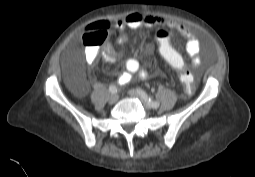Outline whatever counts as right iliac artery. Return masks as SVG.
<instances>
[{"mask_svg": "<svg viewBox=\"0 0 255 177\" xmlns=\"http://www.w3.org/2000/svg\"><path fill=\"white\" fill-rule=\"evenodd\" d=\"M109 91H110L112 94H115V93H117V88H116L114 85H111V86L109 87Z\"/></svg>", "mask_w": 255, "mask_h": 177, "instance_id": "right-iliac-artery-1", "label": "right iliac artery"}]
</instances>
